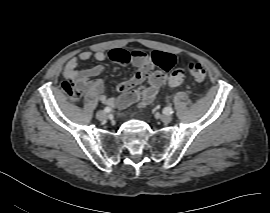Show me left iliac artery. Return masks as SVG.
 <instances>
[{
    "instance_id": "1",
    "label": "left iliac artery",
    "mask_w": 270,
    "mask_h": 213,
    "mask_svg": "<svg viewBox=\"0 0 270 213\" xmlns=\"http://www.w3.org/2000/svg\"><path fill=\"white\" fill-rule=\"evenodd\" d=\"M174 111H173V109L171 108V107H166L165 109H164V113H166V114H172Z\"/></svg>"
}]
</instances>
